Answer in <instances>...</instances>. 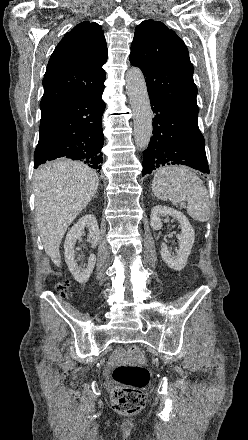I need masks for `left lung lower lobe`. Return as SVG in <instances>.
Listing matches in <instances>:
<instances>
[{
    "label": "left lung lower lobe",
    "mask_w": 248,
    "mask_h": 440,
    "mask_svg": "<svg viewBox=\"0 0 248 440\" xmlns=\"http://www.w3.org/2000/svg\"><path fill=\"white\" fill-rule=\"evenodd\" d=\"M153 136L143 152V175L165 165L182 164L209 174L205 141L198 124L190 122L155 97H150Z\"/></svg>",
    "instance_id": "left-lung-lower-lobe-1"
}]
</instances>
